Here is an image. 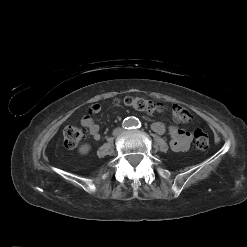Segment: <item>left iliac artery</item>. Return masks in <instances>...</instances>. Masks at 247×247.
Segmentation results:
<instances>
[{
  "label": "left iliac artery",
  "mask_w": 247,
  "mask_h": 247,
  "mask_svg": "<svg viewBox=\"0 0 247 247\" xmlns=\"http://www.w3.org/2000/svg\"><path fill=\"white\" fill-rule=\"evenodd\" d=\"M140 126H141V124H140V122H138V123L135 124L134 128H140Z\"/></svg>",
  "instance_id": "1"
}]
</instances>
